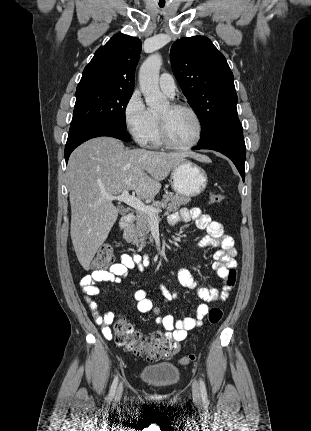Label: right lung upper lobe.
<instances>
[{"instance_id": "cb5924a9", "label": "right lung upper lobe", "mask_w": 311, "mask_h": 431, "mask_svg": "<svg viewBox=\"0 0 311 431\" xmlns=\"http://www.w3.org/2000/svg\"><path fill=\"white\" fill-rule=\"evenodd\" d=\"M141 49L140 39L121 33L114 35L84 68L77 91L97 88L133 92Z\"/></svg>"}]
</instances>
